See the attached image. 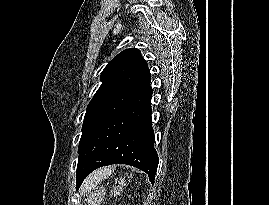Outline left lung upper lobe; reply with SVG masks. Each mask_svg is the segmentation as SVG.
<instances>
[{
	"label": "left lung upper lobe",
	"mask_w": 269,
	"mask_h": 205,
	"mask_svg": "<svg viewBox=\"0 0 269 205\" xmlns=\"http://www.w3.org/2000/svg\"><path fill=\"white\" fill-rule=\"evenodd\" d=\"M101 81V86L87 106L79 157L96 131L150 85L151 75L140 51L132 48L120 52L107 64Z\"/></svg>",
	"instance_id": "5c2ea615"
}]
</instances>
